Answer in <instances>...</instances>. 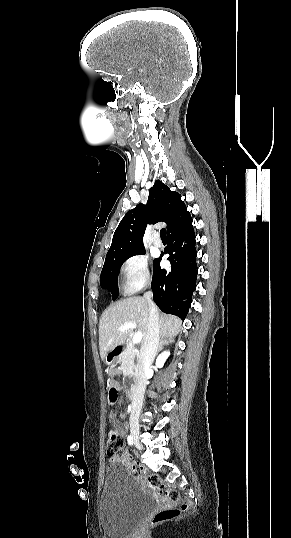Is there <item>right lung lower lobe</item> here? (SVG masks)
<instances>
[{
	"instance_id": "98d812e1",
	"label": "right lung lower lobe",
	"mask_w": 291,
	"mask_h": 538,
	"mask_svg": "<svg viewBox=\"0 0 291 538\" xmlns=\"http://www.w3.org/2000/svg\"><path fill=\"white\" fill-rule=\"evenodd\" d=\"M167 236L168 246L164 253L170 255L171 269H161L163 254L154 261L153 300L163 312L184 319L191 305L198 274L192 220Z\"/></svg>"
}]
</instances>
